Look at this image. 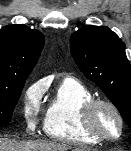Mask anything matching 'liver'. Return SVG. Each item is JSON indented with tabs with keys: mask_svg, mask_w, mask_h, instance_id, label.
<instances>
[{
	"mask_svg": "<svg viewBox=\"0 0 131 151\" xmlns=\"http://www.w3.org/2000/svg\"><path fill=\"white\" fill-rule=\"evenodd\" d=\"M71 147L57 142H16L0 138V151H68ZM75 151H80L76 149Z\"/></svg>",
	"mask_w": 131,
	"mask_h": 151,
	"instance_id": "6515ba94",
	"label": "liver"
}]
</instances>
